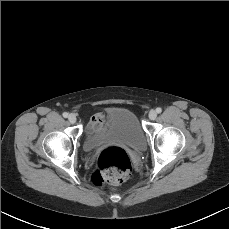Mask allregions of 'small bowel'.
<instances>
[{"label": "small bowel", "mask_w": 229, "mask_h": 229, "mask_svg": "<svg viewBox=\"0 0 229 229\" xmlns=\"http://www.w3.org/2000/svg\"><path fill=\"white\" fill-rule=\"evenodd\" d=\"M107 124L106 116L103 112L95 114L88 124V130H102Z\"/></svg>", "instance_id": "1"}]
</instances>
